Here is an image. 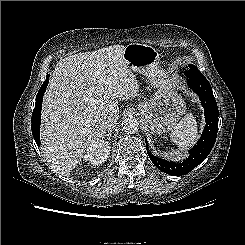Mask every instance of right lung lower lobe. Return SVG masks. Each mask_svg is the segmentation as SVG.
Returning a JSON list of instances; mask_svg holds the SVG:
<instances>
[{
    "label": "right lung lower lobe",
    "mask_w": 245,
    "mask_h": 245,
    "mask_svg": "<svg viewBox=\"0 0 245 245\" xmlns=\"http://www.w3.org/2000/svg\"><path fill=\"white\" fill-rule=\"evenodd\" d=\"M45 90H46V86L42 87L41 91L36 96V104L32 113L31 129H32L33 137L37 143V146H40V133H39L40 119H41L42 98Z\"/></svg>",
    "instance_id": "98d812e1"
}]
</instances>
